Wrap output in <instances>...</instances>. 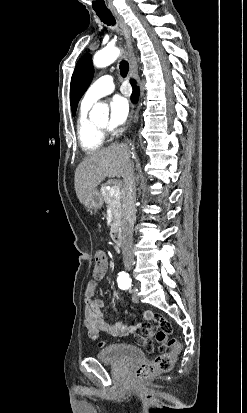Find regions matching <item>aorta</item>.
<instances>
[{
    "label": "aorta",
    "instance_id": "aorta-1",
    "mask_svg": "<svg viewBox=\"0 0 247 413\" xmlns=\"http://www.w3.org/2000/svg\"><path fill=\"white\" fill-rule=\"evenodd\" d=\"M120 50L116 47H106L98 51L93 57V64L95 67L103 68L112 64L119 56ZM108 111L107 107L103 104H95L91 116L98 117Z\"/></svg>",
    "mask_w": 247,
    "mask_h": 413
}]
</instances>
